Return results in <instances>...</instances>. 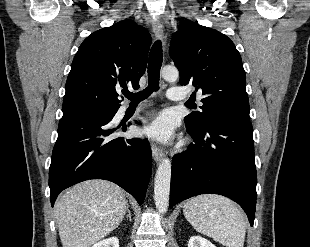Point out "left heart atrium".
Listing matches in <instances>:
<instances>
[{
	"label": "left heart atrium",
	"instance_id": "obj_1",
	"mask_svg": "<svg viewBox=\"0 0 310 247\" xmlns=\"http://www.w3.org/2000/svg\"><path fill=\"white\" fill-rule=\"evenodd\" d=\"M144 134L160 143H169L175 134L172 115L168 112L158 114L144 129Z\"/></svg>",
	"mask_w": 310,
	"mask_h": 247
}]
</instances>
